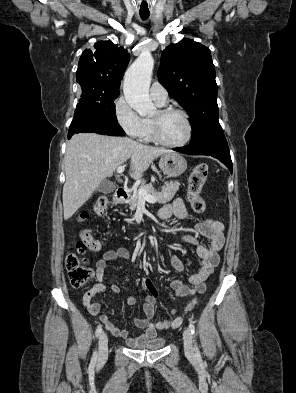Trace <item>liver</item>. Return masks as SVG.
Instances as JSON below:
<instances>
[{
    "mask_svg": "<svg viewBox=\"0 0 296 393\" xmlns=\"http://www.w3.org/2000/svg\"><path fill=\"white\" fill-rule=\"evenodd\" d=\"M172 151L140 144L127 137L79 133L67 143L64 219L68 220L91 197L106 177L130 159L129 173L139 179L159 156Z\"/></svg>",
    "mask_w": 296,
    "mask_h": 393,
    "instance_id": "liver-1",
    "label": "liver"
}]
</instances>
